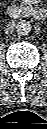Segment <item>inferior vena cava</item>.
Returning a JSON list of instances; mask_svg holds the SVG:
<instances>
[{
	"instance_id": "obj_1",
	"label": "inferior vena cava",
	"mask_w": 47,
	"mask_h": 129,
	"mask_svg": "<svg viewBox=\"0 0 47 129\" xmlns=\"http://www.w3.org/2000/svg\"><path fill=\"white\" fill-rule=\"evenodd\" d=\"M14 24L13 23H10L9 25H8V27L6 28V33L7 34H10V33H12L13 32V30H14Z\"/></svg>"
}]
</instances>
